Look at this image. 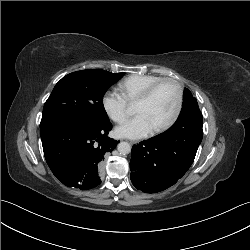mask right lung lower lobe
Returning a JSON list of instances; mask_svg holds the SVG:
<instances>
[{
  "label": "right lung lower lobe",
  "mask_w": 250,
  "mask_h": 250,
  "mask_svg": "<svg viewBox=\"0 0 250 250\" xmlns=\"http://www.w3.org/2000/svg\"><path fill=\"white\" fill-rule=\"evenodd\" d=\"M111 129L110 122L57 121L40 127L44 155L53 174L68 187L89 190L98 186L102 162L118 143L107 137Z\"/></svg>",
  "instance_id": "obj_1"
}]
</instances>
